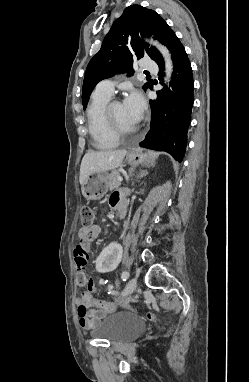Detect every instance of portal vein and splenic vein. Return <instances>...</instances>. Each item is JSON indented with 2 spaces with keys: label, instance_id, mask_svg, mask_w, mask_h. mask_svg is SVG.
<instances>
[{
  "label": "portal vein and splenic vein",
  "instance_id": "obj_1",
  "mask_svg": "<svg viewBox=\"0 0 249 382\" xmlns=\"http://www.w3.org/2000/svg\"><path fill=\"white\" fill-rule=\"evenodd\" d=\"M117 180L121 182V181H123V178H122L121 176H119V177L117 178Z\"/></svg>",
  "mask_w": 249,
  "mask_h": 382
}]
</instances>
